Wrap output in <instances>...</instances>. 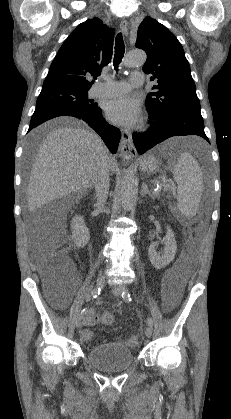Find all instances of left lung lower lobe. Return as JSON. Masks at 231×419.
Instances as JSON below:
<instances>
[{"instance_id": "left-lung-lower-lobe-1", "label": "left lung lower lobe", "mask_w": 231, "mask_h": 419, "mask_svg": "<svg viewBox=\"0 0 231 419\" xmlns=\"http://www.w3.org/2000/svg\"><path fill=\"white\" fill-rule=\"evenodd\" d=\"M149 114L151 126L148 131L133 134V142L140 154L172 136L197 135L209 142L200 108L186 107L168 113Z\"/></svg>"}]
</instances>
